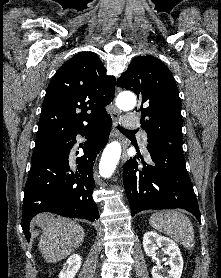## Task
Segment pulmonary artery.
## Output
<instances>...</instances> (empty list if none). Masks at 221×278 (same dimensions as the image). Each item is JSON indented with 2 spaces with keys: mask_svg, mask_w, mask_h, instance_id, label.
<instances>
[{
  "mask_svg": "<svg viewBox=\"0 0 221 278\" xmlns=\"http://www.w3.org/2000/svg\"><path fill=\"white\" fill-rule=\"evenodd\" d=\"M122 123L125 127L130 128V129H135L138 128V120L135 115L133 114H127L122 118ZM142 140L143 144L146 145L147 137L146 134H142Z\"/></svg>",
  "mask_w": 221,
  "mask_h": 278,
  "instance_id": "obj_1",
  "label": "pulmonary artery"
}]
</instances>
